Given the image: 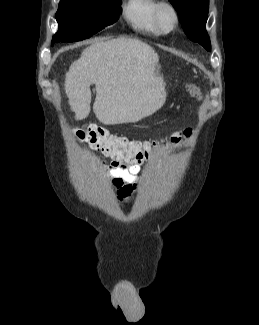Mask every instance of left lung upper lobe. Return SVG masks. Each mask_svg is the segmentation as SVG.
Returning a JSON list of instances; mask_svg holds the SVG:
<instances>
[{"instance_id":"5c2ea615","label":"left lung upper lobe","mask_w":259,"mask_h":325,"mask_svg":"<svg viewBox=\"0 0 259 325\" xmlns=\"http://www.w3.org/2000/svg\"><path fill=\"white\" fill-rule=\"evenodd\" d=\"M179 14L182 28L187 37L201 44L208 51L210 39L205 30L209 0H169Z\"/></svg>"}]
</instances>
